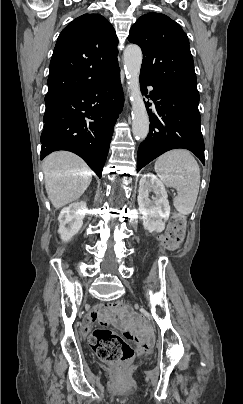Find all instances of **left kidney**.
Masks as SVG:
<instances>
[{
    "label": "left kidney",
    "mask_w": 243,
    "mask_h": 404,
    "mask_svg": "<svg viewBox=\"0 0 243 404\" xmlns=\"http://www.w3.org/2000/svg\"><path fill=\"white\" fill-rule=\"evenodd\" d=\"M138 192L137 200L144 230L163 232L165 222L170 216L168 194L164 184L154 174H144L139 182ZM149 192L155 194L152 200L149 198Z\"/></svg>",
    "instance_id": "obj_1"
}]
</instances>
